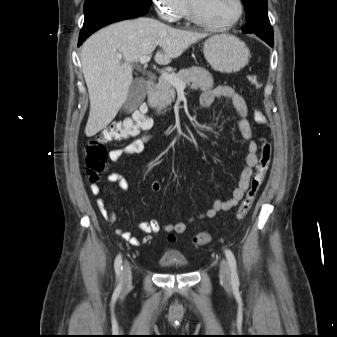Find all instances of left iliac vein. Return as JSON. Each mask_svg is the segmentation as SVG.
I'll return each mask as SVG.
<instances>
[{
  "instance_id": "left-iliac-vein-1",
  "label": "left iliac vein",
  "mask_w": 337,
  "mask_h": 337,
  "mask_svg": "<svg viewBox=\"0 0 337 337\" xmlns=\"http://www.w3.org/2000/svg\"><path fill=\"white\" fill-rule=\"evenodd\" d=\"M220 280L225 286L231 283L230 267L225 259H222L220 263Z\"/></svg>"
}]
</instances>
